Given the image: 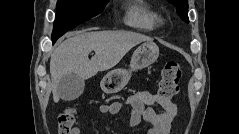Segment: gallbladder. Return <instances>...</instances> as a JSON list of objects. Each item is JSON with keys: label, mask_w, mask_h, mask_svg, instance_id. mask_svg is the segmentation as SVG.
<instances>
[{"label": "gallbladder", "mask_w": 239, "mask_h": 134, "mask_svg": "<svg viewBox=\"0 0 239 134\" xmlns=\"http://www.w3.org/2000/svg\"><path fill=\"white\" fill-rule=\"evenodd\" d=\"M85 81L74 73L63 76L57 86V93L64 101L77 99L84 91Z\"/></svg>", "instance_id": "obj_1"}]
</instances>
